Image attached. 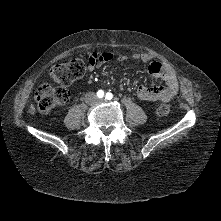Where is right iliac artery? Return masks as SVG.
<instances>
[{
	"label": "right iliac artery",
	"mask_w": 221,
	"mask_h": 221,
	"mask_svg": "<svg viewBox=\"0 0 221 221\" xmlns=\"http://www.w3.org/2000/svg\"><path fill=\"white\" fill-rule=\"evenodd\" d=\"M97 96H98L99 98H103V96H104V91H103V90H99V91L97 92Z\"/></svg>",
	"instance_id": "1"
}]
</instances>
